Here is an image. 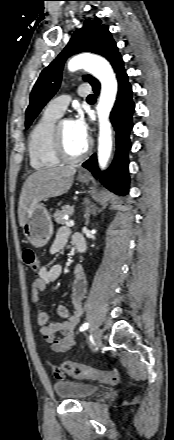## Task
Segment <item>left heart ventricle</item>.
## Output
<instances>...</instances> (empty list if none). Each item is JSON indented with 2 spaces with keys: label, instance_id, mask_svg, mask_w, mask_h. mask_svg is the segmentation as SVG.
I'll return each instance as SVG.
<instances>
[{
  "label": "left heart ventricle",
  "instance_id": "left-heart-ventricle-1",
  "mask_svg": "<svg viewBox=\"0 0 174 440\" xmlns=\"http://www.w3.org/2000/svg\"><path fill=\"white\" fill-rule=\"evenodd\" d=\"M61 127V131L63 134V138H64V143H65V147L67 152L70 155H78L80 154L85 146H86V142L81 141L80 139H78L73 130H72V124L70 121H64L61 123L60 125Z\"/></svg>",
  "mask_w": 174,
  "mask_h": 440
}]
</instances>
